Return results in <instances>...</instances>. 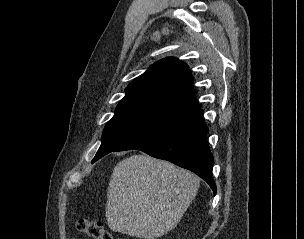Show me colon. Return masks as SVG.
Segmentation results:
<instances>
[{
	"label": "colon",
	"mask_w": 304,
	"mask_h": 239,
	"mask_svg": "<svg viewBox=\"0 0 304 239\" xmlns=\"http://www.w3.org/2000/svg\"><path fill=\"white\" fill-rule=\"evenodd\" d=\"M75 224L77 230L89 239H117L100 221L90 218H78Z\"/></svg>",
	"instance_id": "obj_1"
}]
</instances>
